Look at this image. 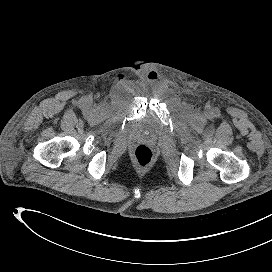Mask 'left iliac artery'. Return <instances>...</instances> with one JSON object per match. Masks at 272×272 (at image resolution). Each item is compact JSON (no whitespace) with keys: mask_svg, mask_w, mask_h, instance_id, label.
I'll use <instances>...</instances> for the list:
<instances>
[{"mask_svg":"<svg viewBox=\"0 0 272 272\" xmlns=\"http://www.w3.org/2000/svg\"><path fill=\"white\" fill-rule=\"evenodd\" d=\"M215 116H219V112L218 111H215Z\"/></svg>","mask_w":272,"mask_h":272,"instance_id":"1","label":"left iliac artery"}]
</instances>
